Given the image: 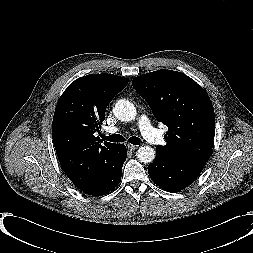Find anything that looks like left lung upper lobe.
Here are the masks:
<instances>
[{"instance_id":"1","label":"left lung upper lobe","mask_w":253,"mask_h":253,"mask_svg":"<svg viewBox=\"0 0 253 253\" xmlns=\"http://www.w3.org/2000/svg\"><path fill=\"white\" fill-rule=\"evenodd\" d=\"M158 122L168 126L165 146L156 152L207 162L214 135L215 114L207 92L193 79L172 70H158L132 81Z\"/></svg>"}]
</instances>
